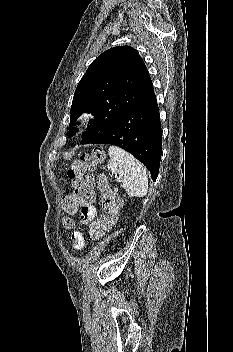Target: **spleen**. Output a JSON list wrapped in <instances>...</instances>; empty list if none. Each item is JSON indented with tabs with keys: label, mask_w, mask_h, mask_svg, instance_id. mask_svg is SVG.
<instances>
[{
	"label": "spleen",
	"mask_w": 233,
	"mask_h": 352,
	"mask_svg": "<svg viewBox=\"0 0 233 352\" xmlns=\"http://www.w3.org/2000/svg\"><path fill=\"white\" fill-rule=\"evenodd\" d=\"M110 168L119 175L122 187L130 197H144L148 192V177L144 166L127 151L110 146Z\"/></svg>",
	"instance_id": "3e777b00"
}]
</instances>
